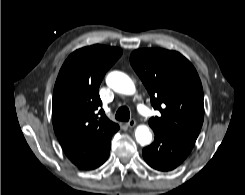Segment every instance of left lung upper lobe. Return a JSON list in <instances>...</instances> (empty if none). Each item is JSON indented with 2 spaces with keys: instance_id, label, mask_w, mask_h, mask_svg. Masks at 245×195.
<instances>
[{
  "instance_id": "1",
  "label": "left lung upper lobe",
  "mask_w": 245,
  "mask_h": 195,
  "mask_svg": "<svg viewBox=\"0 0 245 195\" xmlns=\"http://www.w3.org/2000/svg\"><path fill=\"white\" fill-rule=\"evenodd\" d=\"M130 63L144 83L154 109L153 130L170 131L196 141L204 119L203 89L193 65L180 53L138 49Z\"/></svg>"
}]
</instances>
